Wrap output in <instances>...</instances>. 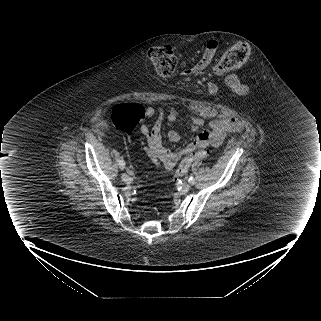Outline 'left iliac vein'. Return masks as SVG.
<instances>
[{
  "label": "left iliac vein",
  "instance_id": "1",
  "mask_svg": "<svg viewBox=\"0 0 321 321\" xmlns=\"http://www.w3.org/2000/svg\"><path fill=\"white\" fill-rule=\"evenodd\" d=\"M190 187L191 185L189 183H184L181 188L182 193H187L190 190Z\"/></svg>",
  "mask_w": 321,
  "mask_h": 321
}]
</instances>
